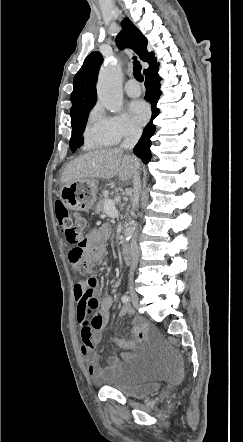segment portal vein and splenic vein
<instances>
[{
  "instance_id": "18ae733b",
  "label": "portal vein and splenic vein",
  "mask_w": 243,
  "mask_h": 442,
  "mask_svg": "<svg viewBox=\"0 0 243 442\" xmlns=\"http://www.w3.org/2000/svg\"><path fill=\"white\" fill-rule=\"evenodd\" d=\"M105 213L112 218H118L119 213L115 208V204L113 202H106L104 205Z\"/></svg>"
}]
</instances>
